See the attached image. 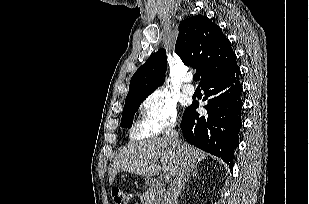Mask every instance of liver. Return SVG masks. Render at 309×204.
<instances>
[{"mask_svg":"<svg viewBox=\"0 0 309 204\" xmlns=\"http://www.w3.org/2000/svg\"><path fill=\"white\" fill-rule=\"evenodd\" d=\"M181 155L185 157L191 168H195L208 156L205 152L185 142H181L180 150H178L167 137L130 143L113 160L109 171V183H113L115 175L119 172L151 177L162 169L173 177ZM158 159H161L162 167L157 164Z\"/></svg>","mask_w":309,"mask_h":204,"instance_id":"liver-1","label":"liver"}]
</instances>
